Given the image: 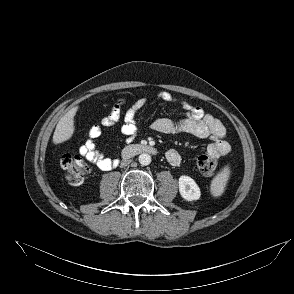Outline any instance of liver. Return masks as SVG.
<instances>
[{
    "instance_id": "6515ba94",
    "label": "liver",
    "mask_w": 294,
    "mask_h": 294,
    "mask_svg": "<svg viewBox=\"0 0 294 294\" xmlns=\"http://www.w3.org/2000/svg\"><path fill=\"white\" fill-rule=\"evenodd\" d=\"M78 110V106L70 109L58 122L53 134V143L60 144L69 140L75 131L74 116Z\"/></svg>"
}]
</instances>
